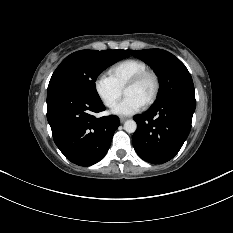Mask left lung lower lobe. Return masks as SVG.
Returning <instances> with one entry per match:
<instances>
[{
    "instance_id": "left-lung-lower-lobe-1",
    "label": "left lung lower lobe",
    "mask_w": 233,
    "mask_h": 233,
    "mask_svg": "<svg viewBox=\"0 0 233 233\" xmlns=\"http://www.w3.org/2000/svg\"><path fill=\"white\" fill-rule=\"evenodd\" d=\"M195 107L194 100L179 97L135 116L138 128L132 141L139 157L152 164L171 160L189 135Z\"/></svg>"
}]
</instances>
